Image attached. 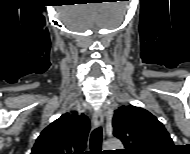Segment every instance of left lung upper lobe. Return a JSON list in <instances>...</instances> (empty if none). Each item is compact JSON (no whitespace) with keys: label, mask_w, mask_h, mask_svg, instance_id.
<instances>
[{"label":"left lung upper lobe","mask_w":190,"mask_h":154,"mask_svg":"<svg viewBox=\"0 0 190 154\" xmlns=\"http://www.w3.org/2000/svg\"><path fill=\"white\" fill-rule=\"evenodd\" d=\"M113 135L119 138L125 154H157L173 147L164 125L147 110L121 106L114 111Z\"/></svg>","instance_id":"5c2ea615"}]
</instances>
